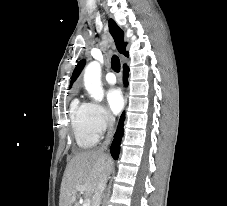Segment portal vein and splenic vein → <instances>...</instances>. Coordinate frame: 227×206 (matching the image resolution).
I'll use <instances>...</instances> for the list:
<instances>
[{
  "label": "portal vein and splenic vein",
  "mask_w": 227,
  "mask_h": 206,
  "mask_svg": "<svg viewBox=\"0 0 227 206\" xmlns=\"http://www.w3.org/2000/svg\"><path fill=\"white\" fill-rule=\"evenodd\" d=\"M77 189H78L79 191H84V186H78ZM83 206H90V200H89V199H86V200L84 201Z\"/></svg>",
  "instance_id": "portal-vein-and-splenic-vein-1"
}]
</instances>
